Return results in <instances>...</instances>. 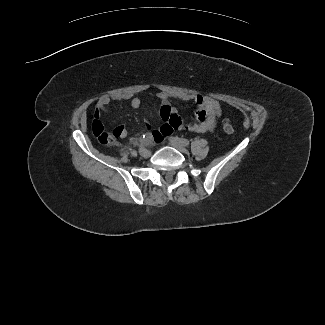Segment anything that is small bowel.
Here are the masks:
<instances>
[{
  "label": "small bowel",
  "instance_id": "1",
  "mask_svg": "<svg viewBox=\"0 0 325 325\" xmlns=\"http://www.w3.org/2000/svg\"><path fill=\"white\" fill-rule=\"evenodd\" d=\"M156 97L161 102L159 114L165 123L154 130L146 120L144 121V125L146 130L157 140H162L174 130L197 133L212 132L222 114L220 103L216 99L208 96L195 95L187 92H159L156 94ZM172 99L192 102L196 107V122L193 124L183 123L177 110L170 104ZM113 101H129L131 106L137 110L142 106L141 99L130 93L105 94L97 101L95 118H100L101 114L108 110V105ZM115 129L120 131V137L126 136L127 131L124 126H118Z\"/></svg>",
  "mask_w": 325,
  "mask_h": 325
}]
</instances>
